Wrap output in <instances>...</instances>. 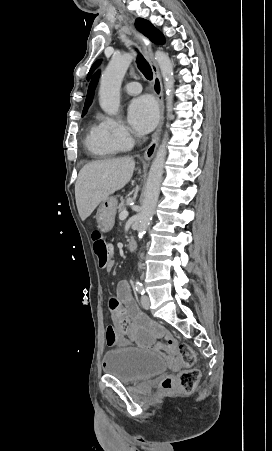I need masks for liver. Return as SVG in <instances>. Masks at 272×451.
<instances>
[{
    "label": "liver",
    "mask_w": 272,
    "mask_h": 451,
    "mask_svg": "<svg viewBox=\"0 0 272 451\" xmlns=\"http://www.w3.org/2000/svg\"><path fill=\"white\" fill-rule=\"evenodd\" d=\"M134 168L132 158L101 160L83 166L75 184L76 206L83 222L100 202L130 182Z\"/></svg>",
    "instance_id": "liver-1"
}]
</instances>
